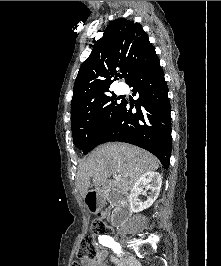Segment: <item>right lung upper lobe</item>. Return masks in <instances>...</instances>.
<instances>
[{"label":"right lung upper lobe","instance_id":"cb5924a9","mask_svg":"<svg viewBox=\"0 0 221 266\" xmlns=\"http://www.w3.org/2000/svg\"><path fill=\"white\" fill-rule=\"evenodd\" d=\"M157 60L155 48L139 23L127 19L112 21L79 69L71 118L88 111L99 96L109 92L120 72L129 84L136 73Z\"/></svg>","mask_w":221,"mask_h":266}]
</instances>
